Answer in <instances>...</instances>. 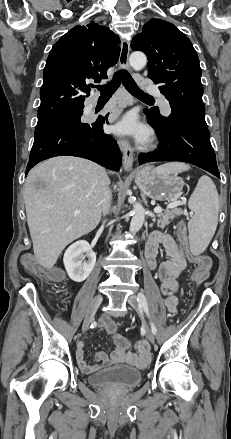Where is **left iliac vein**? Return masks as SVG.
<instances>
[{
    "label": "left iliac vein",
    "mask_w": 231,
    "mask_h": 439,
    "mask_svg": "<svg viewBox=\"0 0 231 439\" xmlns=\"http://www.w3.org/2000/svg\"><path fill=\"white\" fill-rule=\"evenodd\" d=\"M127 301L141 315V309L139 307V302H138L137 296L136 295H130L128 297ZM147 339L151 343H154V341H155L154 334L149 329H147Z\"/></svg>",
    "instance_id": "4c4485c4"
}]
</instances>
